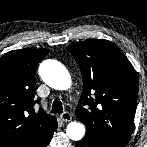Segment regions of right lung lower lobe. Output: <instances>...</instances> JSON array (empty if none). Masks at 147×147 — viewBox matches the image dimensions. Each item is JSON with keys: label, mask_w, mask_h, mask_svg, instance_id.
I'll use <instances>...</instances> for the list:
<instances>
[{"label": "right lung lower lobe", "mask_w": 147, "mask_h": 147, "mask_svg": "<svg viewBox=\"0 0 147 147\" xmlns=\"http://www.w3.org/2000/svg\"><path fill=\"white\" fill-rule=\"evenodd\" d=\"M56 129H57V123L55 124V126L53 127V129L49 133V135L45 139H43L42 141H40L39 143H37L36 145H34L33 147H47V145L51 141V138L53 136V133L55 132Z\"/></svg>", "instance_id": "1"}]
</instances>
